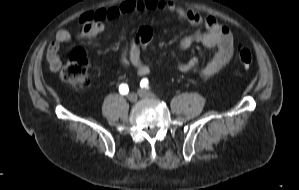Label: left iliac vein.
Masks as SVG:
<instances>
[{"instance_id":"4c4485c4","label":"left iliac vein","mask_w":299,"mask_h":190,"mask_svg":"<svg viewBox=\"0 0 299 190\" xmlns=\"http://www.w3.org/2000/svg\"><path fill=\"white\" fill-rule=\"evenodd\" d=\"M138 95L142 98H157L156 95L144 89L138 90Z\"/></svg>"}]
</instances>
